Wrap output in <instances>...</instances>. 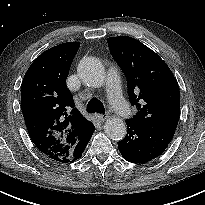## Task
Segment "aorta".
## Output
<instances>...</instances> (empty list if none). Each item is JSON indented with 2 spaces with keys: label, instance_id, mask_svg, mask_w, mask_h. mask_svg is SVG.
<instances>
[{
  "label": "aorta",
  "instance_id": "obj_1",
  "mask_svg": "<svg viewBox=\"0 0 205 205\" xmlns=\"http://www.w3.org/2000/svg\"><path fill=\"white\" fill-rule=\"evenodd\" d=\"M81 80L88 86L101 87L105 80V70L101 62L94 57L83 58L77 68ZM106 135L112 140H122L127 132L125 123L121 118L111 117L104 125Z\"/></svg>",
  "mask_w": 205,
  "mask_h": 205
}]
</instances>
